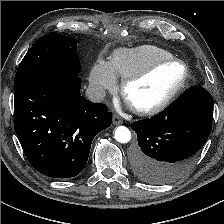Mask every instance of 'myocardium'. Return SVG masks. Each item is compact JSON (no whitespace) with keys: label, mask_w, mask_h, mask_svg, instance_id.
<instances>
[{"label":"myocardium","mask_w":224,"mask_h":224,"mask_svg":"<svg viewBox=\"0 0 224 224\" xmlns=\"http://www.w3.org/2000/svg\"><path fill=\"white\" fill-rule=\"evenodd\" d=\"M170 63H178L183 67L184 73H183V77H182L181 81L179 82V84L161 102H159L158 104H156L152 107L139 108V107L132 106L130 104L129 98H128L129 87L132 84L148 77L151 73H153L159 67L166 65V64H170ZM189 77H190L189 68L184 61H182L178 58H175V57L158 59V60H155L152 63H150L148 66H146L142 70L126 77L122 82L121 93H122L123 98L127 101V103L130 104V106L136 113L143 115V116L155 115V114L160 113L161 111L165 110L168 106H170L173 103V101L184 90L185 86L188 83Z\"/></svg>","instance_id":"obj_1"}]
</instances>
